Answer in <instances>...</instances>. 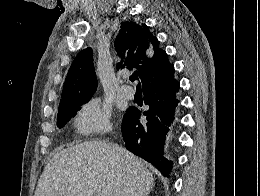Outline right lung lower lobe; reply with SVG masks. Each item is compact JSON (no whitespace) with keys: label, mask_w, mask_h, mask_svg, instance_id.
<instances>
[{"label":"right lung lower lobe","mask_w":260,"mask_h":196,"mask_svg":"<svg viewBox=\"0 0 260 196\" xmlns=\"http://www.w3.org/2000/svg\"><path fill=\"white\" fill-rule=\"evenodd\" d=\"M142 86L148 110L143 113L134 107L127 110L122 121L123 140L129 151L152 163L163 175L168 176L172 162L163 157V147L175 119V107L179 102L176 91L180 83L174 79L173 70ZM140 116H145L146 121L140 123Z\"/></svg>","instance_id":"98d812e1"}]
</instances>
